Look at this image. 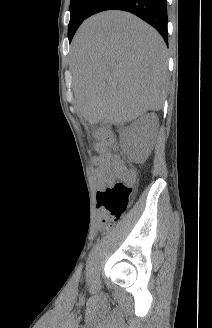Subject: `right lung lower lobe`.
Instances as JSON below:
<instances>
[{
  "label": "right lung lower lobe",
  "instance_id": "1",
  "mask_svg": "<svg viewBox=\"0 0 212 328\" xmlns=\"http://www.w3.org/2000/svg\"><path fill=\"white\" fill-rule=\"evenodd\" d=\"M106 10H123L152 25L167 43V0H95L87 18Z\"/></svg>",
  "mask_w": 212,
  "mask_h": 328
}]
</instances>
